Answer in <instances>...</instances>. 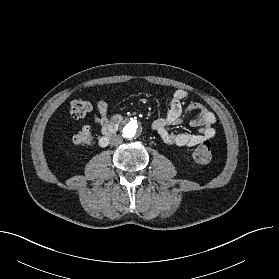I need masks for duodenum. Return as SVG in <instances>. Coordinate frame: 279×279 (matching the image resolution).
<instances>
[{"mask_svg": "<svg viewBox=\"0 0 279 279\" xmlns=\"http://www.w3.org/2000/svg\"><path fill=\"white\" fill-rule=\"evenodd\" d=\"M121 122H122V118L120 116H116L113 118V120L109 124L106 132L102 135V137L99 140V144L102 147H105L109 144L110 138L116 133Z\"/></svg>", "mask_w": 279, "mask_h": 279, "instance_id": "1", "label": "duodenum"}]
</instances>
